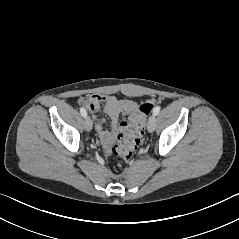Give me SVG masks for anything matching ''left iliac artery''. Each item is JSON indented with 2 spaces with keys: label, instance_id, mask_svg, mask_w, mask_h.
I'll use <instances>...</instances> for the list:
<instances>
[{
  "label": "left iliac artery",
  "instance_id": "44dca946",
  "mask_svg": "<svg viewBox=\"0 0 239 239\" xmlns=\"http://www.w3.org/2000/svg\"><path fill=\"white\" fill-rule=\"evenodd\" d=\"M160 109H161L160 106H156V107L154 108V110H153V114H154V115H158L159 112H160Z\"/></svg>",
  "mask_w": 239,
  "mask_h": 239
}]
</instances>
